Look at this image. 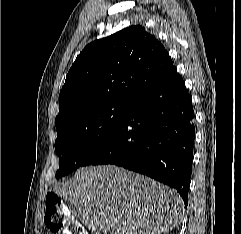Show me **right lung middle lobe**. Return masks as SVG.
I'll list each match as a JSON object with an SVG mask.
<instances>
[{
	"instance_id": "1",
	"label": "right lung middle lobe",
	"mask_w": 241,
	"mask_h": 234,
	"mask_svg": "<svg viewBox=\"0 0 241 234\" xmlns=\"http://www.w3.org/2000/svg\"><path fill=\"white\" fill-rule=\"evenodd\" d=\"M129 105L109 103L93 106L82 110L56 128L55 150L59 157L56 178L81 167L118 127Z\"/></svg>"
}]
</instances>
